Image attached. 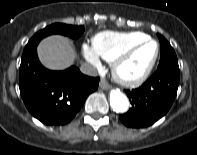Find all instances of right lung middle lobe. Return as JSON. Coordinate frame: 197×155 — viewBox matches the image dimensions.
I'll return each instance as SVG.
<instances>
[{
  "label": "right lung middle lobe",
  "instance_id": "dd1d6c3e",
  "mask_svg": "<svg viewBox=\"0 0 197 155\" xmlns=\"http://www.w3.org/2000/svg\"><path fill=\"white\" fill-rule=\"evenodd\" d=\"M84 32V26H73L62 23L52 24L40 31H38L25 46L23 56L27 55L30 51L34 50L38 43L46 36L52 34H61L73 39L79 38Z\"/></svg>",
  "mask_w": 197,
  "mask_h": 155
}]
</instances>
